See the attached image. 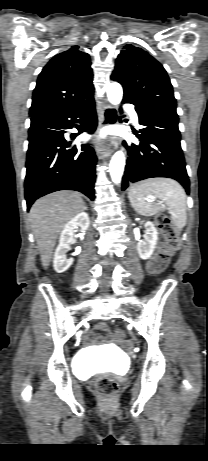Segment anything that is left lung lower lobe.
<instances>
[{
    "mask_svg": "<svg viewBox=\"0 0 208 461\" xmlns=\"http://www.w3.org/2000/svg\"><path fill=\"white\" fill-rule=\"evenodd\" d=\"M123 103L134 104L138 114L140 144L127 146L128 159L122 180V190L130 183L153 177L177 180L189 193V178L180 145L178 115L176 111L160 108H139L133 101L123 98Z\"/></svg>",
    "mask_w": 208,
    "mask_h": 461,
    "instance_id": "left-lung-lower-lobe-1",
    "label": "left lung lower lobe"
}]
</instances>
